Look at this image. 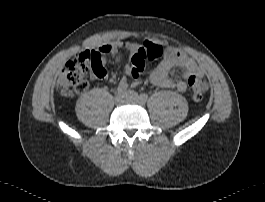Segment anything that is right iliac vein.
I'll list each match as a JSON object with an SVG mask.
<instances>
[{
	"instance_id": "1",
	"label": "right iliac vein",
	"mask_w": 265,
	"mask_h": 202,
	"mask_svg": "<svg viewBox=\"0 0 265 202\" xmlns=\"http://www.w3.org/2000/svg\"><path fill=\"white\" fill-rule=\"evenodd\" d=\"M115 101L118 103V104H122L126 101V95L123 94V93H120V94H116L115 95Z\"/></svg>"
}]
</instances>
